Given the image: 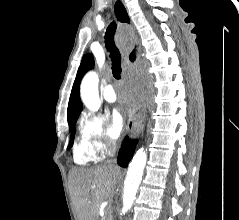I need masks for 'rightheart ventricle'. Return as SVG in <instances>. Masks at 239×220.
<instances>
[{"instance_id": "e07e8e85", "label": "right heart ventricle", "mask_w": 239, "mask_h": 220, "mask_svg": "<svg viewBox=\"0 0 239 220\" xmlns=\"http://www.w3.org/2000/svg\"><path fill=\"white\" fill-rule=\"evenodd\" d=\"M73 158L74 162L79 165H86L97 159L90 147L83 139H80L76 143L74 147Z\"/></svg>"}]
</instances>
